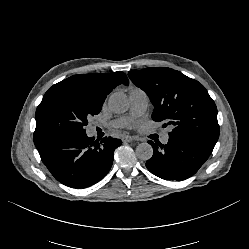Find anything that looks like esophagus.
<instances>
[{"mask_svg":"<svg viewBox=\"0 0 249 249\" xmlns=\"http://www.w3.org/2000/svg\"><path fill=\"white\" fill-rule=\"evenodd\" d=\"M133 140H134V138H133V136H131V135H125V136L122 137V141H123V142L130 143V142H132Z\"/></svg>","mask_w":249,"mask_h":249,"instance_id":"obj_1","label":"esophagus"}]
</instances>
